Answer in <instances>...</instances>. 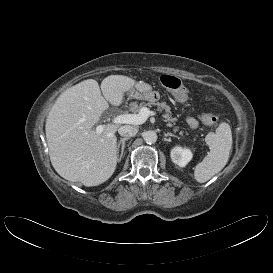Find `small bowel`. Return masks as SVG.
Instances as JSON below:
<instances>
[{
  "label": "small bowel",
  "mask_w": 273,
  "mask_h": 273,
  "mask_svg": "<svg viewBox=\"0 0 273 273\" xmlns=\"http://www.w3.org/2000/svg\"><path fill=\"white\" fill-rule=\"evenodd\" d=\"M187 123L191 128H196L198 125L197 120L194 117L189 116L187 118Z\"/></svg>",
  "instance_id": "1"
}]
</instances>
